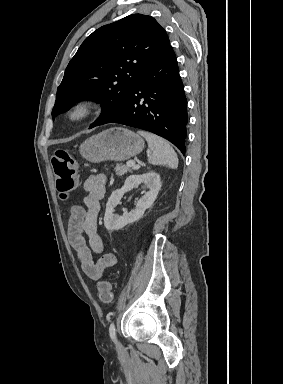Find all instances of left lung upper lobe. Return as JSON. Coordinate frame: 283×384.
<instances>
[{
    "label": "left lung upper lobe",
    "mask_w": 283,
    "mask_h": 384,
    "mask_svg": "<svg viewBox=\"0 0 283 384\" xmlns=\"http://www.w3.org/2000/svg\"><path fill=\"white\" fill-rule=\"evenodd\" d=\"M170 41L157 21L132 14L88 36L69 62L57 89L52 116L84 99L102 103L90 128L122 109L136 82L161 57Z\"/></svg>",
    "instance_id": "5c2ea615"
}]
</instances>
